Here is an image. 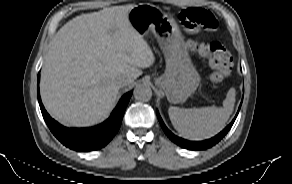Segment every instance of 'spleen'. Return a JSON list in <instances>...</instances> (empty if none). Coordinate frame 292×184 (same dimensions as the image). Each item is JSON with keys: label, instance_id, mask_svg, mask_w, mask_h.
<instances>
[{"label": "spleen", "instance_id": "1", "mask_svg": "<svg viewBox=\"0 0 292 184\" xmlns=\"http://www.w3.org/2000/svg\"><path fill=\"white\" fill-rule=\"evenodd\" d=\"M234 103L235 89L231 88L223 101V107L184 109L171 106L168 114L180 136L198 141L208 139L222 130L232 114Z\"/></svg>", "mask_w": 292, "mask_h": 184}]
</instances>
